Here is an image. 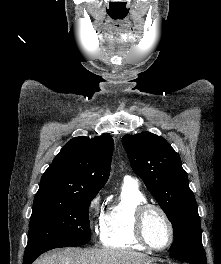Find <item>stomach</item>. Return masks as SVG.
Instances as JSON below:
<instances>
[{"label": "stomach", "instance_id": "stomach-1", "mask_svg": "<svg viewBox=\"0 0 221 264\" xmlns=\"http://www.w3.org/2000/svg\"><path fill=\"white\" fill-rule=\"evenodd\" d=\"M149 264H156V263H152V261Z\"/></svg>", "mask_w": 221, "mask_h": 264}]
</instances>
